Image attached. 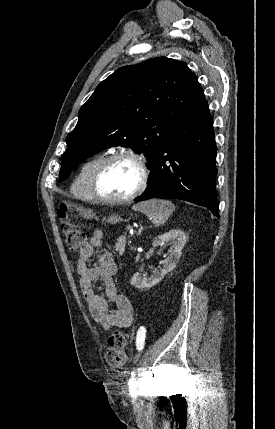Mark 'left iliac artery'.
<instances>
[{
    "label": "left iliac artery",
    "instance_id": "1",
    "mask_svg": "<svg viewBox=\"0 0 275 429\" xmlns=\"http://www.w3.org/2000/svg\"><path fill=\"white\" fill-rule=\"evenodd\" d=\"M145 338H146V328L144 326H141L136 335V347L138 351H141L145 344ZM136 385V376L135 373H132V376L129 380V386L133 390ZM132 395L136 397V394L132 391Z\"/></svg>",
    "mask_w": 275,
    "mask_h": 429
}]
</instances>
